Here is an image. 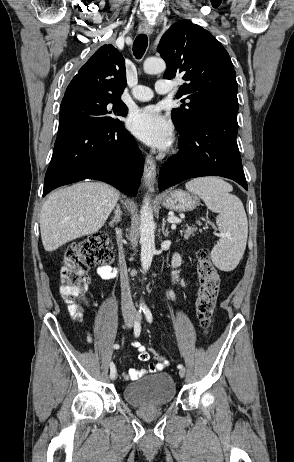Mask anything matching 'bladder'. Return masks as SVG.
<instances>
[{"label": "bladder", "mask_w": 294, "mask_h": 462, "mask_svg": "<svg viewBox=\"0 0 294 462\" xmlns=\"http://www.w3.org/2000/svg\"><path fill=\"white\" fill-rule=\"evenodd\" d=\"M123 397L136 407H162L175 399L176 385L170 374L157 372L126 385Z\"/></svg>", "instance_id": "31cf9c89"}]
</instances>
